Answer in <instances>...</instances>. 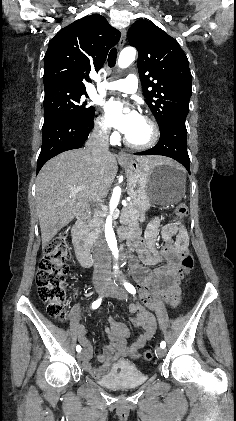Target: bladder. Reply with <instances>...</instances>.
I'll use <instances>...</instances> for the list:
<instances>
[{"label": "bladder", "instance_id": "bladder-1", "mask_svg": "<svg viewBox=\"0 0 236 421\" xmlns=\"http://www.w3.org/2000/svg\"><path fill=\"white\" fill-rule=\"evenodd\" d=\"M128 366L130 360H127ZM147 379V376L140 375L137 371H117L111 373L106 380V386L117 390L128 389L134 386H140Z\"/></svg>", "mask_w": 236, "mask_h": 421}]
</instances>
